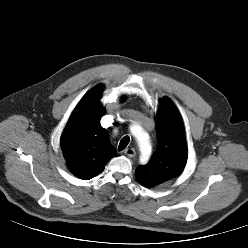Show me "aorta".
Instances as JSON below:
<instances>
[{"instance_id": "aorta-1", "label": "aorta", "mask_w": 248, "mask_h": 248, "mask_svg": "<svg viewBox=\"0 0 248 248\" xmlns=\"http://www.w3.org/2000/svg\"><path fill=\"white\" fill-rule=\"evenodd\" d=\"M134 136L138 141L139 148L142 153H150L151 145L149 141V137L143 131L139 130L137 132H133Z\"/></svg>"}]
</instances>
